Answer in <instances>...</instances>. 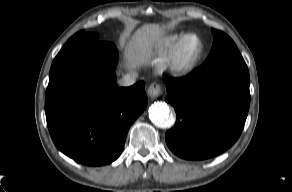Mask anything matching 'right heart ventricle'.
<instances>
[{"label": "right heart ventricle", "mask_w": 292, "mask_h": 192, "mask_svg": "<svg viewBox=\"0 0 292 192\" xmlns=\"http://www.w3.org/2000/svg\"><path fill=\"white\" fill-rule=\"evenodd\" d=\"M183 33H174L162 38L156 46L158 53L162 55L170 54L178 41L184 36Z\"/></svg>", "instance_id": "right-heart-ventricle-1"}]
</instances>
